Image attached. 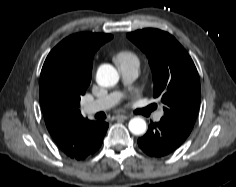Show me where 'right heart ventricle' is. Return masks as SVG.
<instances>
[{
  "mask_svg": "<svg viewBox=\"0 0 236 187\" xmlns=\"http://www.w3.org/2000/svg\"><path fill=\"white\" fill-rule=\"evenodd\" d=\"M114 60L121 69L122 67L126 66H134L139 68L140 59L136 53L130 50H123L114 56Z\"/></svg>",
  "mask_w": 236,
  "mask_h": 187,
  "instance_id": "right-heart-ventricle-1",
  "label": "right heart ventricle"
}]
</instances>
